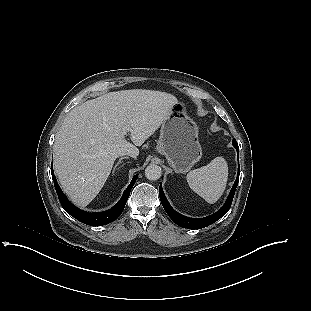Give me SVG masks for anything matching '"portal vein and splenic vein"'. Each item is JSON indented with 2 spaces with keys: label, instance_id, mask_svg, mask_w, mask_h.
Wrapping results in <instances>:
<instances>
[{
  "label": "portal vein and splenic vein",
  "instance_id": "portal-vein-and-splenic-vein-1",
  "mask_svg": "<svg viewBox=\"0 0 311 311\" xmlns=\"http://www.w3.org/2000/svg\"><path fill=\"white\" fill-rule=\"evenodd\" d=\"M128 130H129V128L126 127V128H125L124 134H126Z\"/></svg>",
  "mask_w": 311,
  "mask_h": 311
}]
</instances>
